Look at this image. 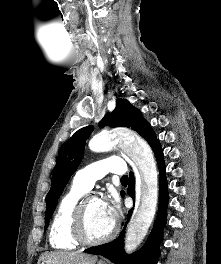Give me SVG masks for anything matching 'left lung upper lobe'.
Returning <instances> with one entry per match:
<instances>
[{
  "label": "left lung upper lobe",
  "mask_w": 221,
  "mask_h": 264,
  "mask_svg": "<svg viewBox=\"0 0 221 264\" xmlns=\"http://www.w3.org/2000/svg\"><path fill=\"white\" fill-rule=\"evenodd\" d=\"M99 126L131 128L139 133L152 149L159 143L142 113L126 99H117L115 110L106 114ZM92 131L93 126L78 130L59 150L57 163L52 173L51 189L46 197L45 229L48 227L60 195L83 158L85 142Z\"/></svg>",
  "instance_id": "left-lung-upper-lobe-1"
}]
</instances>
